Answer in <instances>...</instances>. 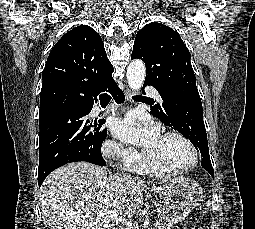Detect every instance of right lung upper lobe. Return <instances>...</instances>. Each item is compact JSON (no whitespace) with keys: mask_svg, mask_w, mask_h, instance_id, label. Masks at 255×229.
I'll return each mask as SVG.
<instances>
[{"mask_svg":"<svg viewBox=\"0 0 255 229\" xmlns=\"http://www.w3.org/2000/svg\"><path fill=\"white\" fill-rule=\"evenodd\" d=\"M100 35L80 25L53 47L42 73L39 117L61 110L88 111L97 95L117 86Z\"/></svg>","mask_w":255,"mask_h":229,"instance_id":"1","label":"right lung upper lobe"}]
</instances>
